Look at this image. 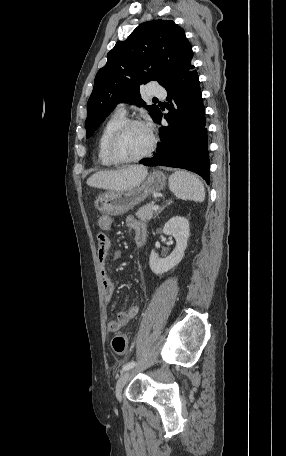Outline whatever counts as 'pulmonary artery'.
Masks as SVG:
<instances>
[{
    "mask_svg": "<svg viewBox=\"0 0 286 456\" xmlns=\"http://www.w3.org/2000/svg\"><path fill=\"white\" fill-rule=\"evenodd\" d=\"M150 94L156 97H164L166 96V90L160 87H151ZM116 111L121 113H126V106L124 103H119L116 106Z\"/></svg>",
    "mask_w": 286,
    "mask_h": 456,
    "instance_id": "obj_1",
    "label": "pulmonary artery"
}]
</instances>
